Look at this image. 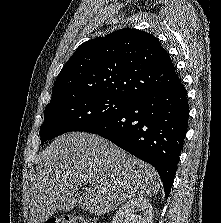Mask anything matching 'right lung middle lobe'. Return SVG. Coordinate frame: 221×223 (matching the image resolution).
I'll return each instance as SVG.
<instances>
[{"instance_id": "dd1d6c3e", "label": "right lung middle lobe", "mask_w": 221, "mask_h": 223, "mask_svg": "<svg viewBox=\"0 0 221 223\" xmlns=\"http://www.w3.org/2000/svg\"><path fill=\"white\" fill-rule=\"evenodd\" d=\"M133 101L107 95H81L50 103L40 128L41 145L71 131H85L106 122L128 108Z\"/></svg>"}]
</instances>
